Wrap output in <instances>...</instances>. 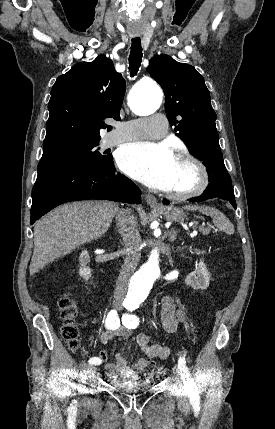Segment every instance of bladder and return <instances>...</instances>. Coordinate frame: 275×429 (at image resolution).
Masks as SVG:
<instances>
[{"instance_id": "bladder-1", "label": "bladder", "mask_w": 275, "mask_h": 429, "mask_svg": "<svg viewBox=\"0 0 275 429\" xmlns=\"http://www.w3.org/2000/svg\"><path fill=\"white\" fill-rule=\"evenodd\" d=\"M113 387L118 393H148L149 386L145 378H120V381H112Z\"/></svg>"}]
</instances>
